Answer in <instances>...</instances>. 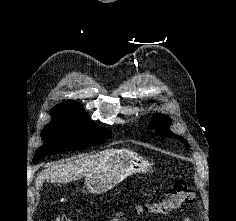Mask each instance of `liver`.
I'll list each match as a JSON object with an SVG mask.
<instances>
[{
	"instance_id": "liver-1",
	"label": "liver",
	"mask_w": 236,
	"mask_h": 221,
	"mask_svg": "<svg viewBox=\"0 0 236 221\" xmlns=\"http://www.w3.org/2000/svg\"><path fill=\"white\" fill-rule=\"evenodd\" d=\"M116 151L114 149H107L90 156L68 160L65 163L53 164L38 174L35 181L36 189H39L45 180L50 183L66 184L86 177L94 172L106 158Z\"/></svg>"
}]
</instances>
